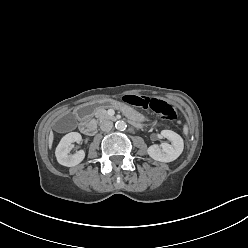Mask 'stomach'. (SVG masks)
I'll return each mask as SVG.
<instances>
[{"label": "stomach", "mask_w": 248, "mask_h": 248, "mask_svg": "<svg viewBox=\"0 0 248 248\" xmlns=\"http://www.w3.org/2000/svg\"><path fill=\"white\" fill-rule=\"evenodd\" d=\"M98 108L101 110H112L115 108L123 116H128L134 122L144 123L147 120V117L142 113H136L131 107L123 106L120 101H113L111 99L103 100L100 102L94 101L91 102L84 108V111L87 114H91L93 111H96Z\"/></svg>", "instance_id": "stomach-1"}]
</instances>
